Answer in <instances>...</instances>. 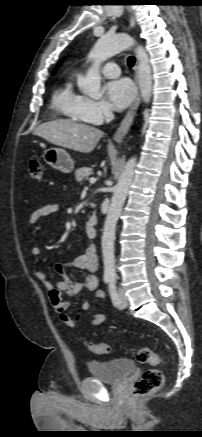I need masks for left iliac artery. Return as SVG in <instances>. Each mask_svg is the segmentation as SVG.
Wrapping results in <instances>:
<instances>
[{"instance_id":"44dca946","label":"left iliac artery","mask_w":202,"mask_h":437,"mask_svg":"<svg viewBox=\"0 0 202 437\" xmlns=\"http://www.w3.org/2000/svg\"><path fill=\"white\" fill-rule=\"evenodd\" d=\"M109 293L114 305H118L119 297L116 290L115 279H111L109 283Z\"/></svg>"}]
</instances>
